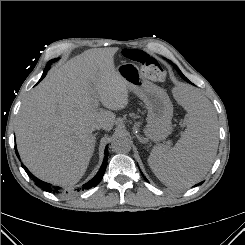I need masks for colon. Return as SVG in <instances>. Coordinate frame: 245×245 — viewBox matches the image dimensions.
I'll return each mask as SVG.
<instances>
[{
	"mask_svg": "<svg viewBox=\"0 0 245 245\" xmlns=\"http://www.w3.org/2000/svg\"><path fill=\"white\" fill-rule=\"evenodd\" d=\"M125 56L132 61L140 63L146 77L156 81H161L165 78L166 71L160 62L144 51L132 49L126 50Z\"/></svg>",
	"mask_w": 245,
	"mask_h": 245,
	"instance_id": "5ec220e1",
	"label": "colon"
}]
</instances>
